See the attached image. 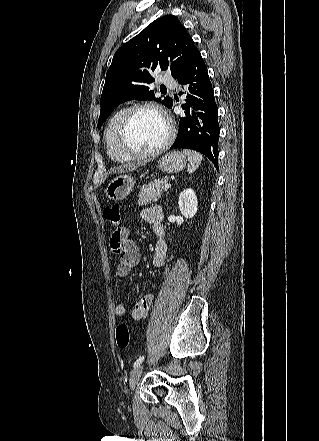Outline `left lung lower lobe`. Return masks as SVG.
I'll return each mask as SVG.
<instances>
[{"mask_svg":"<svg viewBox=\"0 0 319 441\" xmlns=\"http://www.w3.org/2000/svg\"><path fill=\"white\" fill-rule=\"evenodd\" d=\"M184 86L185 116L179 117L178 136L171 149L186 148L207 156L218 169V109L207 67L200 52L177 78ZM173 104V103H172ZM172 108V105L171 107Z\"/></svg>","mask_w":319,"mask_h":441,"instance_id":"left-lung-lower-lobe-1","label":"left lung lower lobe"}]
</instances>
